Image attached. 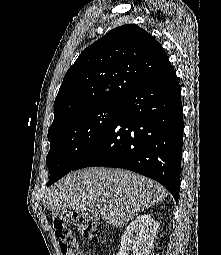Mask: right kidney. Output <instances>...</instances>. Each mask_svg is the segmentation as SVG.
I'll return each mask as SVG.
<instances>
[{"label":"right kidney","instance_id":"1","mask_svg":"<svg viewBox=\"0 0 221 255\" xmlns=\"http://www.w3.org/2000/svg\"><path fill=\"white\" fill-rule=\"evenodd\" d=\"M159 223L151 215L143 214L132 221L121 236L117 255H149L157 235Z\"/></svg>","mask_w":221,"mask_h":255}]
</instances>
